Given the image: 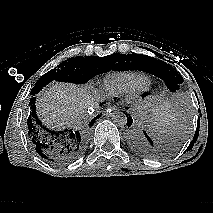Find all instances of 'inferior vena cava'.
Here are the masks:
<instances>
[{"mask_svg": "<svg viewBox=\"0 0 213 213\" xmlns=\"http://www.w3.org/2000/svg\"><path fill=\"white\" fill-rule=\"evenodd\" d=\"M92 106H93V105H92ZM90 107H91V106H90ZM88 109H89V110H88V113H89V114H85V116H84L86 119H87V118H91V117H92V113H93L92 110H91L89 107H88Z\"/></svg>", "mask_w": 213, "mask_h": 213, "instance_id": "obj_1", "label": "inferior vena cava"}]
</instances>
